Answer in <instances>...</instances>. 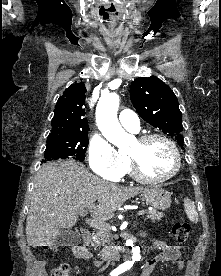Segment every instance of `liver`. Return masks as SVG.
I'll return each mask as SVG.
<instances>
[{
	"label": "liver",
	"instance_id": "6515ba94",
	"mask_svg": "<svg viewBox=\"0 0 221 276\" xmlns=\"http://www.w3.org/2000/svg\"><path fill=\"white\" fill-rule=\"evenodd\" d=\"M146 189L123 187L91 174L83 164L67 160L38 171L26 220L29 246H52L61 228L70 229L82 211L103 223L127 200Z\"/></svg>",
	"mask_w": 221,
	"mask_h": 276
}]
</instances>
